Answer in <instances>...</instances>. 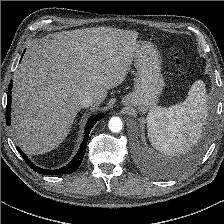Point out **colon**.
Instances as JSON below:
<instances>
[{
  "mask_svg": "<svg viewBox=\"0 0 224 224\" xmlns=\"http://www.w3.org/2000/svg\"><path fill=\"white\" fill-rule=\"evenodd\" d=\"M181 64V59L178 56H175L174 65L179 66Z\"/></svg>",
  "mask_w": 224,
  "mask_h": 224,
  "instance_id": "colon-1",
  "label": "colon"
}]
</instances>
